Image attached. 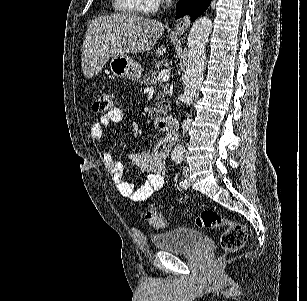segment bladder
Returning <instances> with one entry per match:
<instances>
[{"instance_id": "obj_1", "label": "bladder", "mask_w": 307, "mask_h": 301, "mask_svg": "<svg viewBox=\"0 0 307 301\" xmlns=\"http://www.w3.org/2000/svg\"><path fill=\"white\" fill-rule=\"evenodd\" d=\"M157 250L171 253L190 252L201 245L204 238L201 232L195 228H176L172 232L151 236Z\"/></svg>"}]
</instances>
